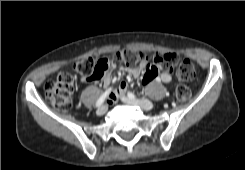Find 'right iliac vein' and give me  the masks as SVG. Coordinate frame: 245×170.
Wrapping results in <instances>:
<instances>
[{"label": "right iliac vein", "instance_id": "right-iliac-vein-1", "mask_svg": "<svg viewBox=\"0 0 245 170\" xmlns=\"http://www.w3.org/2000/svg\"><path fill=\"white\" fill-rule=\"evenodd\" d=\"M107 109H108L107 105H102L97 109L96 113L97 115L101 116L107 111Z\"/></svg>", "mask_w": 245, "mask_h": 170}]
</instances>
